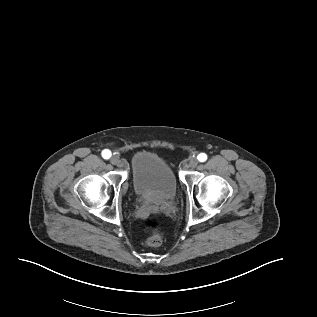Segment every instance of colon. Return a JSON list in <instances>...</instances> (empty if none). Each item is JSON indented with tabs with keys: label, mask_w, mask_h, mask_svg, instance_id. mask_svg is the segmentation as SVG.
<instances>
[{
	"label": "colon",
	"mask_w": 317,
	"mask_h": 317,
	"mask_svg": "<svg viewBox=\"0 0 317 317\" xmlns=\"http://www.w3.org/2000/svg\"><path fill=\"white\" fill-rule=\"evenodd\" d=\"M146 226L153 231V234L146 239V244L151 247L160 246L162 243V235L159 231L158 222L155 219H148Z\"/></svg>",
	"instance_id": "obj_1"
}]
</instances>
